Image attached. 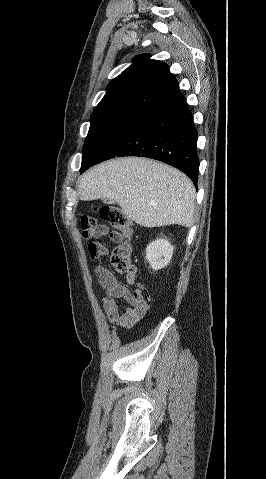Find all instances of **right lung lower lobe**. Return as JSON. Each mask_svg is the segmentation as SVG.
Instances as JSON below:
<instances>
[{
  "instance_id": "1",
  "label": "right lung lower lobe",
  "mask_w": 266,
  "mask_h": 479,
  "mask_svg": "<svg viewBox=\"0 0 266 479\" xmlns=\"http://www.w3.org/2000/svg\"><path fill=\"white\" fill-rule=\"evenodd\" d=\"M197 130L179 88L139 113L105 146L91 166L120 156H143L183 171L197 188Z\"/></svg>"
}]
</instances>
